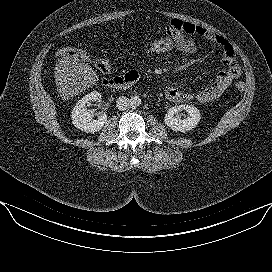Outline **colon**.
Instances as JSON below:
<instances>
[{"label":"colon","mask_w":272,"mask_h":272,"mask_svg":"<svg viewBox=\"0 0 272 272\" xmlns=\"http://www.w3.org/2000/svg\"><path fill=\"white\" fill-rule=\"evenodd\" d=\"M132 47L135 51L141 54L151 56L175 55L177 53H184L180 44L168 36L133 42ZM57 55L66 59H74L80 61L92 60V57L88 52L74 47L61 48L58 50ZM94 65L98 71L105 74L109 73L111 70L110 63L105 59L95 60ZM236 88L239 91H244L245 85L243 82H239L236 84Z\"/></svg>","instance_id":"1"}]
</instances>
